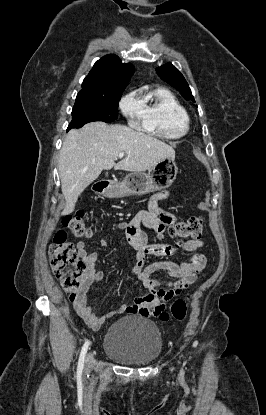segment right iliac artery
Returning a JSON list of instances; mask_svg holds the SVG:
<instances>
[{
	"instance_id": "right-iliac-artery-1",
	"label": "right iliac artery",
	"mask_w": 266,
	"mask_h": 415,
	"mask_svg": "<svg viewBox=\"0 0 266 415\" xmlns=\"http://www.w3.org/2000/svg\"><path fill=\"white\" fill-rule=\"evenodd\" d=\"M90 342L87 341L84 343L82 350L80 352V356H79V361H78V367H77V375H81L83 368H84V361H85V356L88 350Z\"/></svg>"
}]
</instances>
